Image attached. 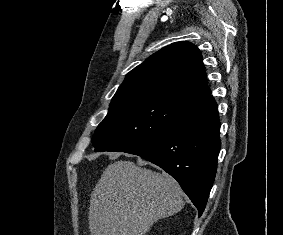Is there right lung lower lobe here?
<instances>
[{
    "label": "right lung lower lobe",
    "mask_w": 283,
    "mask_h": 235,
    "mask_svg": "<svg viewBox=\"0 0 283 235\" xmlns=\"http://www.w3.org/2000/svg\"><path fill=\"white\" fill-rule=\"evenodd\" d=\"M211 93L192 100L164 132L126 153L138 155L173 176L202 215L217 170L221 141Z\"/></svg>",
    "instance_id": "98d812e1"
}]
</instances>
